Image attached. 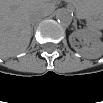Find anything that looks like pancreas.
I'll return each instance as SVG.
<instances>
[{"label":"pancreas","mask_w":103,"mask_h":103,"mask_svg":"<svg viewBox=\"0 0 103 103\" xmlns=\"http://www.w3.org/2000/svg\"><path fill=\"white\" fill-rule=\"evenodd\" d=\"M79 13H81V15L84 17V18H87L88 17V14L87 13H85L84 11H79Z\"/></svg>","instance_id":"obj_1"}]
</instances>
